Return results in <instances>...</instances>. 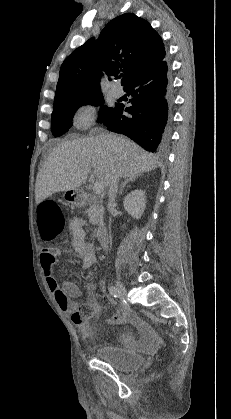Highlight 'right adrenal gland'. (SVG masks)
Returning <instances> with one entry per match:
<instances>
[{"instance_id":"2a0ac1e0","label":"right adrenal gland","mask_w":231,"mask_h":419,"mask_svg":"<svg viewBox=\"0 0 231 419\" xmlns=\"http://www.w3.org/2000/svg\"><path fill=\"white\" fill-rule=\"evenodd\" d=\"M141 176V174H138V175H135V176H132V177H129V178H127L124 182H122V184H121V186H120V190H119V192H118V194L119 195H121L122 194V192H123V190H124V188H125V186H126V184H128L129 182H133V181H135L137 178H139Z\"/></svg>"}]
</instances>
